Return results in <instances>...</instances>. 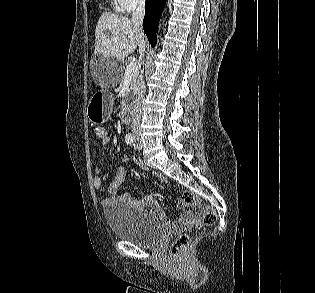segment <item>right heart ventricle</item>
<instances>
[{
  "label": "right heart ventricle",
  "instance_id": "right-heart-ventricle-1",
  "mask_svg": "<svg viewBox=\"0 0 315 293\" xmlns=\"http://www.w3.org/2000/svg\"><path fill=\"white\" fill-rule=\"evenodd\" d=\"M115 4H116V5H118V3H117V2H115ZM118 7H119V6H118Z\"/></svg>",
  "mask_w": 315,
  "mask_h": 293
}]
</instances>
